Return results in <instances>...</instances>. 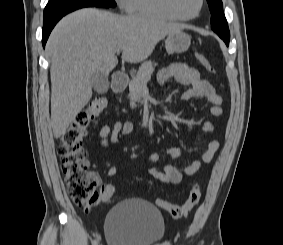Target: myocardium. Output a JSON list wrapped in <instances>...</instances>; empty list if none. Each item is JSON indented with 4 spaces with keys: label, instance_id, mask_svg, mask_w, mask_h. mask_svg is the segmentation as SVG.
Listing matches in <instances>:
<instances>
[{
    "label": "myocardium",
    "instance_id": "f54148a6",
    "mask_svg": "<svg viewBox=\"0 0 283 245\" xmlns=\"http://www.w3.org/2000/svg\"><path fill=\"white\" fill-rule=\"evenodd\" d=\"M162 1V7L163 9L175 20H180V21H191L198 17L204 7L205 0H199V6L197 11L190 16H182L177 13L175 7H174V1L173 0H161Z\"/></svg>",
    "mask_w": 283,
    "mask_h": 245
}]
</instances>
